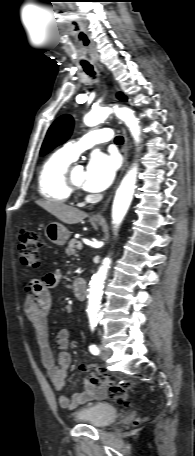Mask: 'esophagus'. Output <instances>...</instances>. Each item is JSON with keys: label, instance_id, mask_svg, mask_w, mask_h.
Wrapping results in <instances>:
<instances>
[{"label": "esophagus", "instance_id": "obj_1", "mask_svg": "<svg viewBox=\"0 0 195 456\" xmlns=\"http://www.w3.org/2000/svg\"><path fill=\"white\" fill-rule=\"evenodd\" d=\"M122 131H123V135H124V144H123V148H122V152H123V156H124V164H123V168L121 171V175L124 172V170L128 164V150H129V138H128L127 132L124 128L122 129ZM111 196L112 195H110L108 197V199L103 204L102 208L92 215V219H94V220H103L104 219V213L109 205Z\"/></svg>", "mask_w": 195, "mask_h": 456}]
</instances>
